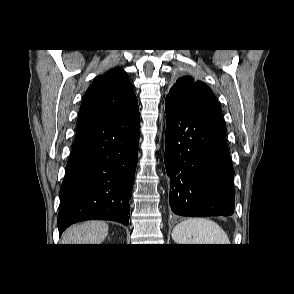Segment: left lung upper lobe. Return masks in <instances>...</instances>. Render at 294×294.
I'll use <instances>...</instances> for the list:
<instances>
[{"mask_svg": "<svg viewBox=\"0 0 294 294\" xmlns=\"http://www.w3.org/2000/svg\"><path fill=\"white\" fill-rule=\"evenodd\" d=\"M166 100L192 112L221 111L209 86L190 75L182 76L176 81L166 96Z\"/></svg>", "mask_w": 294, "mask_h": 294, "instance_id": "obj_1", "label": "left lung upper lobe"}]
</instances>
